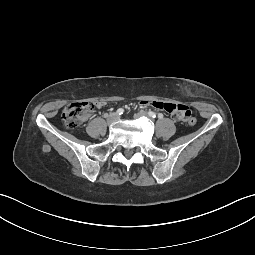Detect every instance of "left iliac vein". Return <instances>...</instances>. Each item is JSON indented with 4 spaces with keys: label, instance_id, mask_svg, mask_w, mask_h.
Returning <instances> with one entry per match:
<instances>
[{
    "label": "left iliac vein",
    "instance_id": "obj_1",
    "mask_svg": "<svg viewBox=\"0 0 255 255\" xmlns=\"http://www.w3.org/2000/svg\"><path fill=\"white\" fill-rule=\"evenodd\" d=\"M148 116H149L148 113H146V112H144V111H140V112H138V113H136V114L134 115L135 118H139V117H148Z\"/></svg>",
    "mask_w": 255,
    "mask_h": 255
}]
</instances>
